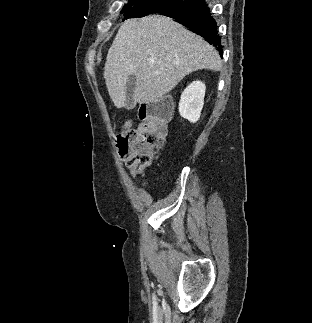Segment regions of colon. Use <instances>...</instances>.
<instances>
[{"instance_id": "5ec220e1", "label": "colon", "mask_w": 312, "mask_h": 323, "mask_svg": "<svg viewBox=\"0 0 312 323\" xmlns=\"http://www.w3.org/2000/svg\"><path fill=\"white\" fill-rule=\"evenodd\" d=\"M166 137V117L156 106L149 110L148 117L138 126H133L131 118L123 120L120 138L116 141V157L130 158L127 168L131 172L152 165L155 152L161 148Z\"/></svg>"}]
</instances>
